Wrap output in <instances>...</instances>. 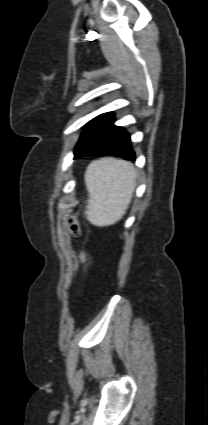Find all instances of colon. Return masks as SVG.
<instances>
[{"label": "colon", "instance_id": "obj_1", "mask_svg": "<svg viewBox=\"0 0 208 425\" xmlns=\"http://www.w3.org/2000/svg\"><path fill=\"white\" fill-rule=\"evenodd\" d=\"M68 232L72 236H79L81 234V226L78 219L75 216H70L68 219ZM81 263L86 261V253L81 252L79 255Z\"/></svg>", "mask_w": 208, "mask_h": 425}]
</instances>
